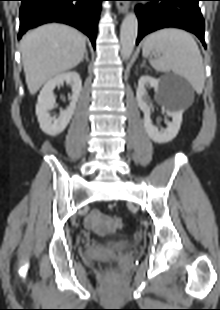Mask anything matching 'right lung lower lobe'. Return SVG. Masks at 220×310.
<instances>
[{
	"label": "right lung lower lobe",
	"mask_w": 220,
	"mask_h": 310,
	"mask_svg": "<svg viewBox=\"0 0 220 310\" xmlns=\"http://www.w3.org/2000/svg\"><path fill=\"white\" fill-rule=\"evenodd\" d=\"M19 37L27 30L48 22L69 24L95 45L97 25L104 0H21Z\"/></svg>",
	"instance_id": "98d812e1"
}]
</instances>
